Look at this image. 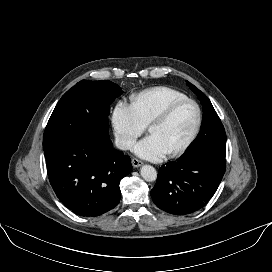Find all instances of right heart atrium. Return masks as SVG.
I'll list each match as a JSON object with an SVG mask.
<instances>
[{
    "label": "right heart atrium",
    "instance_id": "d8ad5b80",
    "mask_svg": "<svg viewBox=\"0 0 272 272\" xmlns=\"http://www.w3.org/2000/svg\"><path fill=\"white\" fill-rule=\"evenodd\" d=\"M111 123L119 147L125 150L130 149L145 130L131 106L124 103L115 106Z\"/></svg>",
    "mask_w": 272,
    "mask_h": 272
}]
</instances>
